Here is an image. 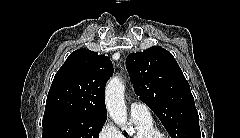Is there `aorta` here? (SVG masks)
Returning <instances> with one entry per match:
<instances>
[{
	"mask_svg": "<svg viewBox=\"0 0 240 138\" xmlns=\"http://www.w3.org/2000/svg\"><path fill=\"white\" fill-rule=\"evenodd\" d=\"M125 86L119 76L112 77L107 83L105 90V102L107 111L111 119L123 130L131 131L127 128V110L124 101Z\"/></svg>",
	"mask_w": 240,
	"mask_h": 138,
	"instance_id": "762f6f07",
	"label": "aorta"
}]
</instances>
